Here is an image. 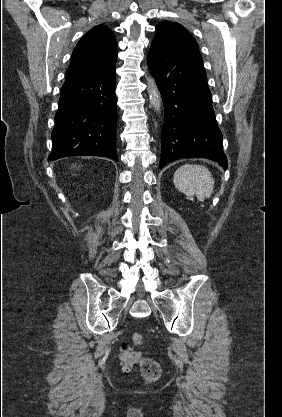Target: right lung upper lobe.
<instances>
[{"label": "right lung upper lobe", "mask_w": 282, "mask_h": 417, "mask_svg": "<svg viewBox=\"0 0 282 417\" xmlns=\"http://www.w3.org/2000/svg\"><path fill=\"white\" fill-rule=\"evenodd\" d=\"M117 41L105 25L95 26L76 45L66 79L87 74L117 61Z\"/></svg>", "instance_id": "obj_1"}]
</instances>
